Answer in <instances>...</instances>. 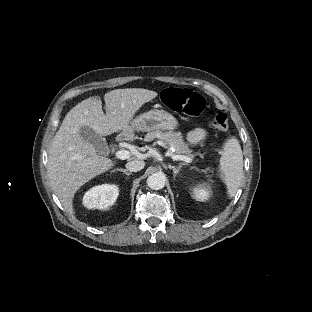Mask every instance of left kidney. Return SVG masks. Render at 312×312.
<instances>
[{"label": "left kidney", "instance_id": "5707ae66", "mask_svg": "<svg viewBox=\"0 0 312 312\" xmlns=\"http://www.w3.org/2000/svg\"><path fill=\"white\" fill-rule=\"evenodd\" d=\"M206 188H197L196 189V199L199 200V201H203L205 199L208 198V196L206 195Z\"/></svg>", "mask_w": 312, "mask_h": 312}]
</instances>
